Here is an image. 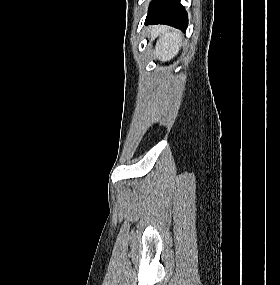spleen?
Listing matches in <instances>:
<instances>
[{
	"label": "spleen",
	"mask_w": 280,
	"mask_h": 285,
	"mask_svg": "<svg viewBox=\"0 0 280 285\" xmlns=\"http://www.w3.org/2000/svg\"><path fill=\"white\" fill-rule=\"evenodd\" d=\"M160 39L156 43L154 55L162 61H169L175 57L182 43V35L179 31L170 30L166 26L157 27Z\"/></svg>",
	"instance_id": "1"
}]
</instances>
